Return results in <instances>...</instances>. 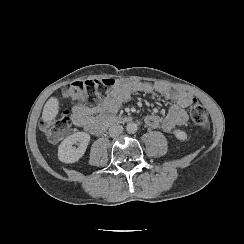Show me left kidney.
Listing matches in <instances>:
<instances>
[{"label": "left kidney", "mask_w": 244, "mask_h": 244, "mask_svg": "<svg viewBox=\"0 0 244 244\" xmlns=\"http://www.w3.org/2000/svg\"><path fill=\"white\" fill-rule=\"evenodd\" d=\"M173 135L174 137L180 141V142H188L189 140V136H188V133L184 130H181V129H173Z\"/></svg>", "instance_id": "left-kidney-1"}]
</instances>
